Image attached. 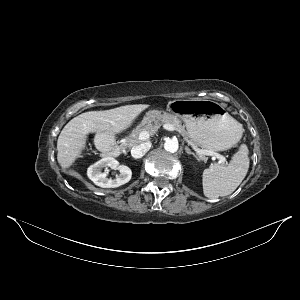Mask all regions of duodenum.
Listing matches in <instances>:
<instances>
[{"mask_svg":"<svg viewBox=\"0 0 300 300\" xmlns=\"http://www.w3.org/2000/svg\"><path fill=\"white\" fill-rule=\"evenodd\" d=\"M104 154L107 157L118 158L121 155V150L119 148L114 149L110 145H105Z\"/></svg>","mask_w":300,"mask_h":300,"instance_id":"duodenum-1","label":"duodenum"}]
</instances>
